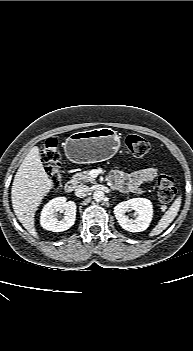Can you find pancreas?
<instances>
[{"label":"pancreas","mask_w":193,"mask_h":351,"mask_svg":"<svg viewBox=\"0 0 193 351\" xmlns=\"http://www.w3.org/2000/svg\"><path fill=\"white\" fill-rule=\"evenodd\" d=\"M95 179L93 177L90 176V171L89 170H85L79 173H76L73 176V179L71 180V183L74 185H77L78 183L81 182H91L93 183Z\"/></svg>","instance_id":"1"}]
</instances>
